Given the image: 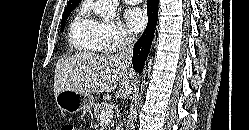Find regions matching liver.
<instances>
[{
	"mask_svg": "<svg viewBox=\"0 0 249 130\" xmlns=\"http://www.w3.org/2000/svg\"><path fill=\"white\" fill-rule=\"evenodd\" d=\"M136 74L116 60V55L77 54L58 60L55 68L54 96L61 91L110 93L118 86L116 97L128 98Z\"/></svg>",
	"mask_w": 249,
	"mask_h": 130,
	"instance_id": "6515ba94",
	"label": "liver"
}]
</instances>
